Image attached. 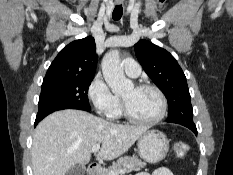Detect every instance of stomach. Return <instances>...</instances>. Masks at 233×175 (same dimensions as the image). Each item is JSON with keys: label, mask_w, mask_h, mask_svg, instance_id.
I'll return each mask as SVG.
<instances>
[{"label": "stomach", "mask_w": 233, "mask_h": 175, "mask_svg": "<svg viewBox=\"0 0 233 175\" xmlns=\"http://www.w3.org/2000/svg\"><path fill=\"white\" fill-rule=\"evenodd\" d=\"M169 150V141L164 133L159 130H147L138 139L140 157L149 163L163 160Z\"/></svg>", "instance_id": "1"}]
</instances>
